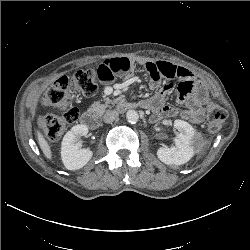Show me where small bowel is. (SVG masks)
<instances>
[{"label":"small bowel","instance_id":"small-bowel-1","mask_svg":"<svg viewBox=\"0 0 250 250\" xmlns=\"http://www.w3.org/2000/svg\"><path fill=\"white\" fill-rule=\"evenodd\" d=\"M145 68L150 74V88L159 91L150 99L141 101L143 107L152 108L156 118L181 115L184 119L199 123L203 120V106L207 101L204 85L189 69L173 65L166 61L145 62ZM134 73V62L127 57L107 59L97 68L98 79L108 84L115 77L130 79ZM162 79H178V103L184 105L183 110L165 104V95L171 89V84L160 87Z\"/></svg>","mask_w":250,"mask_h":250}]
</instances>
